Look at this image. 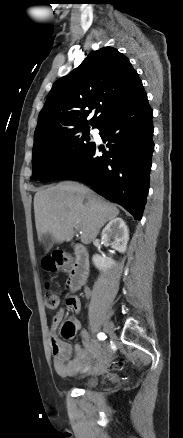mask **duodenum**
Returning a JSON list of instances; mask_svg holds the SVG:
<instances>
[{"mask_svg":"<svg viewBox=\"0 0 183 438\" xmlns=\"http://www.w3.org/2000/svg\"><path fill=\"white\" fill-rule=\"evenodd\" d=\"M75 263L70 270L67 286L70 291L79 290L87 279L89 272V255L82 245L75 246Z\"/></svg>","mask_w":183,"mask_h":438,"instance_id":"obj_1","label":"duodenum"}]
</instances>
